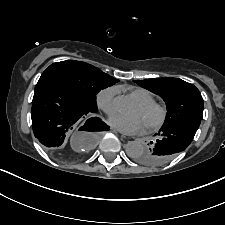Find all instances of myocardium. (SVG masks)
Returning a JSON list of instances; mask_svg holds the SVG:
<instances>
[{
  "mask_svg": "<svg viewBox=\"0 0 225 225\" xmlns=\"http://www.w3.org/2000/svg\"><path fill=\"white\" fill-rule=\"evenodd\" d=\"M139 106L144 112H147V113H150L153 111L158 112L157 119L148 125L150 129L156 130L164 125L168 117V109L164 104L160 102L152 101L149 103L139 104Z\"/></svg>",
  "mask_w": 225,
  "mask_h": 225,
  "instance_id": "1",
  "label": "myocardium"
}]
</instances>
